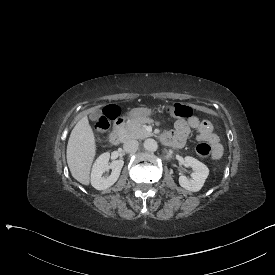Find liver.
I'll use <instances>...</instances> for the list:
<instances>
[{"label": "liver", "mask_w": 275, "mask_h": 275, "mask_svg": "<svg viewBox=\"0 0 275 275\" xmlns=\"http://www.w3.org/2000/svg\"><path fill=\"white\" fill-rule=\"evenodd\" d=\"M96 154L95 133L87 116H83L73 127L66 150V159L71 175L82 185H90L91 168ZM76 173H78L77 176H75Z\"/></svg>", "instance_id": "1"}]
</instances>
